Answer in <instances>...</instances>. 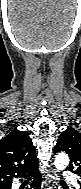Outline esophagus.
<instances>
[{"label": "esophagus", "mask_w": 81, "mask_h": 189, "mask_svg": "<svg viewBox=\"0 0 81 189\" xmlns=\"http://www.w3.org/2000/svg\"><path fill=\"white\" fill-rule=\"evenodd\" d=\"M56 180V171L54 169H50L44 182L43 189H54Z\"/></svg>", "instance_id": "1"}]
</instances>
